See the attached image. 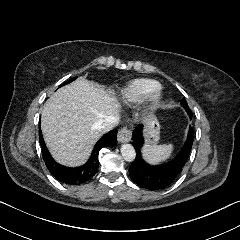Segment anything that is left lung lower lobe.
<instances>
[{"instance_id": "obj_1", "label": "left lung lower lobe", "mask_w": 240, "mask_h": 240, "mask_svg": "<svg viewBox=\"0 0 240 240\" xmlns=\"http://www.w3.org/2000/svg\"><path fill=\"white\" fill-rule=\"evenodd\" d=\"M142 128V125H138L132 133V145L137 155L129 168V174L132 180L142 188L149 190L163 189L174 181L185 165L191 151L194 130L193 128L189 129L187 141L175 159L161 165L151 166L142 159L141 155V147L144 143Z\"/></svg>"}]
</instances>
